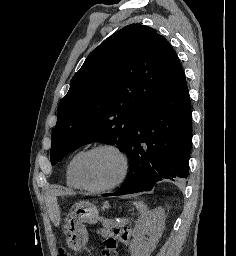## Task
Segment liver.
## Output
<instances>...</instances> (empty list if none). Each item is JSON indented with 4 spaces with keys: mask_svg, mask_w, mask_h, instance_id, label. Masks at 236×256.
<instances>
[{
    "mask_svg": "<svg viewBox=\"0 0 236 256\" xmlns=\"http://www.w3.org/2000/svg\"><path fill=\"white\" fill-rule=\"evenodd\" d=\"M70 194H75V192H70ZM56 196H57L56 192H47V194H45V202L47 204V208H48V212L51 220H53L54 212L57 208Z\"/></svg>",
    "mask_w": 236,
    "mask_h": 256,
    "instance_id": "obj_1",
    "label": "liver"
}]
</instances>
